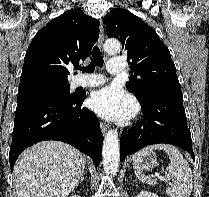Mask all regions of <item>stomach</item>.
I'll return each mask as SVG.
<instances>
[{"instance_id": "obj_1", "label": "stomach", "mask_w": 209, "mask_h": 197, "mask_svg": "<svg viewBox=\"0 0 209 197\" xmlns=\"http://www.w3.org/2000/svg\"><path fill=\"white\" fill-rule=\"evenodd\" d=\"M157 164L156 154L154 152H148L145 156H143L139 161V166L145 170H151Z\"/></svg>"}]
</instances>
